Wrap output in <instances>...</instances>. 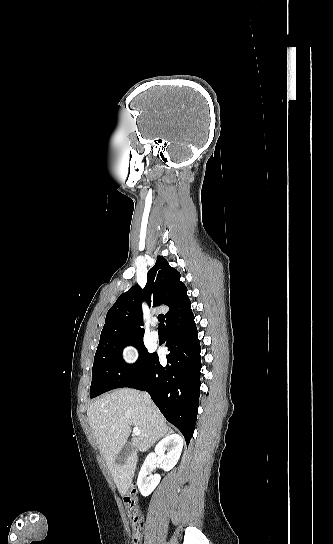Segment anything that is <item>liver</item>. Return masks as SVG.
Masks as SVG:
<instances>
[{
    "mask_svg": "<svg viewBox=\"0 0 333 544\" xmlns=\"http://www.w3.org/2000/svg\"><path fill=\"white\" fill-rule=\"evenodd\" d=\"M87 416L118 491L125 495L135 474L136 453L147 451L169 433V427L156 406L151 404L149 410L145 394L129 388L116 389L98 398L88 407ZM131 426L139 428L141 434L131 442L135 451L123 464H118L116 456L131 433Z\"/></svg>",
    "mask_w": 333,
    "mask_h": 544,
    "instance_id": "liver-1",
    "label": "liver"
}]
</instances>
